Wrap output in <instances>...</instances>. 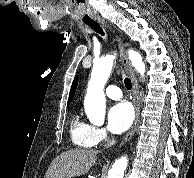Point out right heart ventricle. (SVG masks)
Wrapping results in <instances>:
<instances>
[{"instance_id":"obj_1","label":"right heart ventricle","mask_w":194,"mask_h":178,"mask_svg":"<svg viewBox=\"0 0 194 178\" xmlns=\"http://www.w3.org/2000/svg\"><path fill=\"white\" fill-rule=\"evenodd\" d=\"M91 126L79 114L73 116L70 124V137L74 145L82 148L92 147L90 141Z\"/></svg>"}]
</instances>
